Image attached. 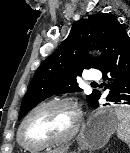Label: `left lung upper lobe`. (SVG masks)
Here are the masks:
<instances>
[{"label":"left lung upper lobe","instance_id":"1","mask_svg":"<svg viewBox=\"0 0 130 153\" xmlns=\"http://www.w3.org/2000/svg\"><path fill=\"white\" fill-rule=\"evenodd\" d=\"M125 30L109 14H95L76 21L68 37L37 69L23 98L19 120L44 99L62 93L81 91L77 83L84 69H100L106 61L107 51L120 31ZM99 49L106 56L92 58L88 50ZM100 92L87 96L93 105Z\"/></svg>","mask_w":130,"mask_h":153}]
</instances>
